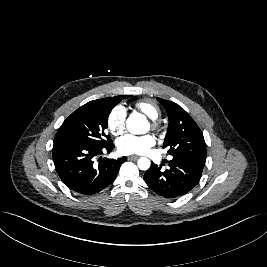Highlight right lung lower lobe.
Masks as SVG:
<instances>
[{
    "label": "right lung lower lobe",
    "mask_w": 267,
    "mask_h": 267,
    "mask_svg": "<svg viewBox=\"0 0 267 267\" xmlns=\"http://www.w3.org/2000/svg\"><path fill=\"white\" fill-rule=\"evenodd\" d=\"M114 148L111 143L105 147L58 144L53 146L52 157L55 169L68 188L74 192L91 195L98 193L115 179L126 157L114 159L94 158Z\"/></svg>",
    "instance_id": "right-lung-lower-lobe-1"
}]
</instances>
